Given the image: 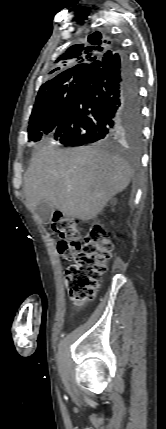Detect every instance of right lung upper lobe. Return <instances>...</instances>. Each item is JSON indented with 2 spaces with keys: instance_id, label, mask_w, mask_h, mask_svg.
Wrapping results in <instances>:
<instances>
[{
  "instance_id": "1",
  "label": "right lung upper lobe",
  "mask_w": 166,
  "mask_h": 429,
  "mask_svg": "<svg viewBox=\"0 0 166 429\" xmlns=\"http://www.w3.org/2000/svg\"><path fill=\"white\" fill-rule=\"evenodd\" d=\"M113 43L105 39L101 33H94L89 35L87 42L78 43L69 47L65 53L55 61V68L49 72L50 74L56 72V76L51 80L44 83L39 93L47 90L55 83L64 79L77 76L85 75L89 65L102 57L107 52H112L109 49H113Z\"/></svg>"
}]
</instances>
